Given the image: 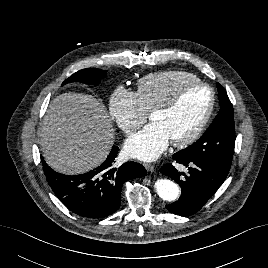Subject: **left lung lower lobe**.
Segmentation results:
<instances>
[{"label": "left lung lower lobe", "instance_id": "obj_1", "mask_svg": "<svg viewBox=\"0 0 268 268\" xmlns=\"http://www.w3.org/2000/svg\"><path fill=\"white\" fill-rule=\"evenodd\" d=\"M173 159L188 167L189 174L178 172L171 163L161 167V173L175 179L182 189L179 200L166 205V208L172 213L190 216L198 212L222 185L229 169L216 162L183 159L175 154ZM181 175H184L185 178L180 177Z\"/></svg>", "mask_w": 268, "mask_h": 268}]
</instances>
